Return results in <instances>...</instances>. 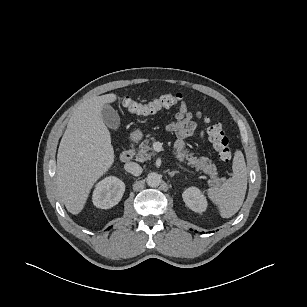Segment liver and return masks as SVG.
Masks as SVG:
<instances>
[{
	"label": "liver",
	"instance_id": "obj_1",
	"mask_svg": "<svg viewBox=\"0 0 307 307\" xmlns=\"http://www.w3.org/2000/svg\"><path fill=\"white\" fill-rule=\"evenodd\" d=\"M114 93L84 101L72 114L57 154L56 185L66 209L79 214L90 190L114 162L110 132L102 108L116 101Z\"/></svg>",
	"mask_w": 307,
	"mask_h": 307
}]
</instances>
